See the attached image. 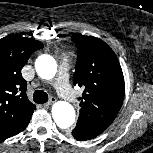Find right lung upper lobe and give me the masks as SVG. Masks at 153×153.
Listing matches in <instances>:
<instances>
[{
  "label": "right lung upper lobe",
  "mask_w": 153,
  "mask_h": 153,
  "mask_svg": "<svg viewBox=\"0 0 153 153\" xmlns=\"http://www.w3.org/2000/svg\"><path fill=\"white\" fill-rule=\"evenodd\" d=\"M43 48L40 41L10 35L0 39V138L16 135L27 125L35 110L26 95L22 67L32 52Z\"/></svg>",
  "instance_id": "1"
}]
</instances>
